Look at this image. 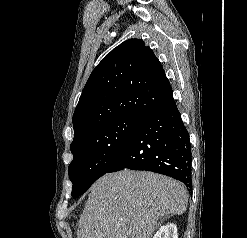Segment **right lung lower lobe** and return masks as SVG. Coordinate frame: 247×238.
<instances>
[{
	"instance_id": "1",
	"label": "right lung lower lobe",
	"mask_w": 247,
	"mask_h": 238,
	"mask_svg": "<svg viewBox=\"0 0 247 238\" xmlns=\"http://www.w3.org/2000/svg\"><path fill=\"white\" fill-rule=\"evenodd\" d=\"M123 169L164 174L191 190V145L173 99L143 117L107 173Z\"/></svg>"
}]
</instances>
